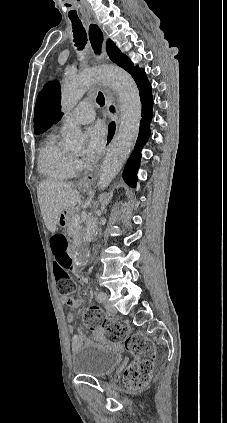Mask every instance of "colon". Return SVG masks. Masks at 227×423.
<instances>
[{
	"label": "colon",
	"mask_w": 227,
	"mask_h": 423,
	"mask_svg": "<svg viewBox=\"0 0 227 423\" xmlns=\"http://www.w3.org/2000/svg\"><path fill=\"white\" fill-rule=\"evenodd\" d=\"M51 249L59 292L61 296H71L76 284L72 275L74 263L66 236L62 233L53 235ZM83 321L89 328L106 331L113 339L125 338V348L134 357V361L125 371V381L130 387L140 388L149 382L155 351L153 344L146 337L141 334L128 335V326L124 322L107 319L96 307H90L84 312Z\"/></svg>",
	"instance_id": "1"
}]
</instances>
